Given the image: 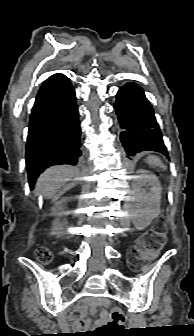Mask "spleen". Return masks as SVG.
I'll return each mask as SVG.
<instances>
[{
  "label": "spleen",
  "mask_w": 194,
  "mask_h": 336,
  "mask_svg": "<svg viewBox=\"0 0 194 336\" xmlns=\"http://www.w3.org/2000/svg\"><path fill=\"white\" fill-rule=\"evenodd\" d=\"M146 162L151 166H159L163 170H165L166 168L164 164L162 163V161L160 160V158L154 155H149L146 159Z\"/></svg>",
  "instance_id": "3e777b00"
}]
</instances>
